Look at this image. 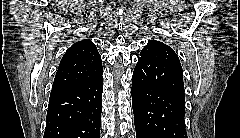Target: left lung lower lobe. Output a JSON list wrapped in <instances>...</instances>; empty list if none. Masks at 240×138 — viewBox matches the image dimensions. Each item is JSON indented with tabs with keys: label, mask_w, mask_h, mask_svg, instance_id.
Returning a JSON list of instances; mask_svg holds the SVG:
<instances>
[{
	"label": "left lung lower lobe",
	"mask_w": 240,
	"mask_h": 138,
	"mask_svg": "<svg viewBox=\"0 0 240 138\" xmlns=\"http://www.w3.org/2000/svg\"><path fill=\"white\" fill-rule=\"evenodd\" d=\"M136 138H187L183 72L174 51L140 53L132 76Z\"/></svg>",
	"instance_id": "1"
}]
</instances>
